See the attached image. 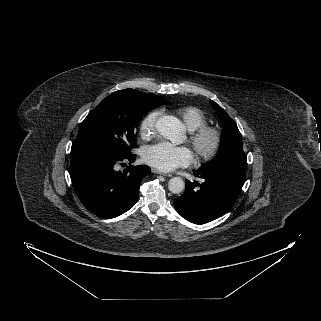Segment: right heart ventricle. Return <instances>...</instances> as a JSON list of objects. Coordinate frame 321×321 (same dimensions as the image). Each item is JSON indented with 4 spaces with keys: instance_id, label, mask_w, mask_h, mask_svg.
Instances as JSON below:
<instances>
[{
    "instance_id": "1",
    "label": "right heart ventricle",
    "mask_w": 321,
    "mask_h": 321,
    "mask_svg": "<svg viewBox=\"0 0 321 321\" xmlns=\"http://www.w3.org/2000/svg\"><path fill=\"white\" fill-rule=\"evenodd\" d=\"M188 131H194L208 122L206 114L198 107L188 105L176 110Z\"/></svg>"
}]
</instances>
